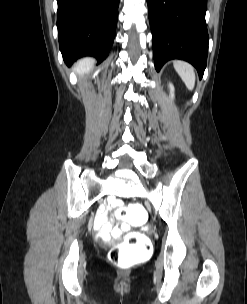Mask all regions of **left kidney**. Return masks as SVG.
Returning <instances> with one entry per match:
<instances>
[{
  "mask_svg": "<svg viewBox=\"0 0 247 304\" xmlns=\"http://www.w3.org/2000/svg\"><path fill=\"white\" fill-rule=\"evenodd\" d=\"M169 87H170V91H171V96L173 97L174 88H173V86L171 84L169 85Z\"/></svg>",
  "mask_w": 247,
  "mask_h": 304,
  "instance_id": "obj_1",
  "label": "left kidney"
}]
</instances>
